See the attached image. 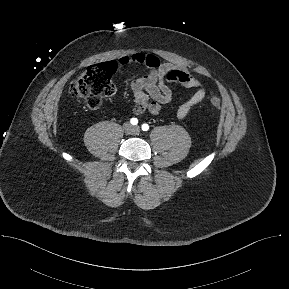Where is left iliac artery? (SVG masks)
<instances>
[{
    "label": "left iliac artery",
    "mask_w": 289,
    "mask_h": 289,
    "mask_svg": "<svg viewBox=\"0 0 289 289\" xmlns=\"http://www.w3.org/2000/svg\"><path fill=\"white\" fill-rule=\"evenodd\" d=\"M148 129H149V125L148 124L145 123V124L142 125V130L143 131H148Z\"/></svg>",
    "instance_id": "1"
}]
</instances>
